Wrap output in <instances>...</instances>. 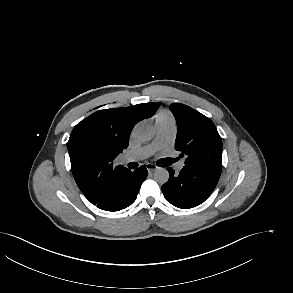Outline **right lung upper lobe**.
Returning <instances> with one entry per match:
<instances>
[{
	"instance_id": "1",
	"label": "right lung upper lobe",
	"mask_w": 293,
	"mask_h": 293,
	"mask_svg": "<svg viewBox=\"0 0 293 293\" xmlns=\"http://www.w3.org/2000/svg\"><path fill=\"white\" fill-rule=\"evenodd\" d=\"M159 103L97 111L78 123L67 143L74 179L92 203L107 198L117 179L130 170L114 166V159L128 147L132 128L149 118Z\"/></svg>"
}]
</instances>
